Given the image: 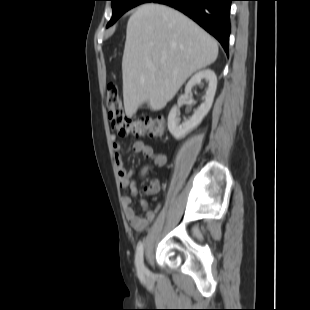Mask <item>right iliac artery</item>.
<instances>
[{"instance_id":"82829eb1","label":"right iliac artery","mask_w":310,"mask_h":310,"mask_svg":"<svg viewBox=\"0 0 310 310\" xmlns=\"http://www.w3.org/2000/svg\"><path fill=\"white\" fill-rule=\"evenodd\" d=\"M143 250H144V242H141L139 243L135 254V264L137 267L138 274L141 277L143 276L144 272Z\"/></svg>"}]
</instances>
